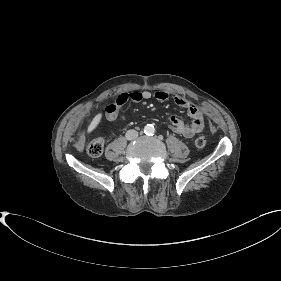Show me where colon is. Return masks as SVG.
I'll list each match as a JSON object with an SVG mask.
<instances>
[{
  "label": "colon",
  "instance_id": "colon-1",
  "mask_svg": "<svg viewBox=\"0 0 281 281\" xmlns=\"http://www.w3.org/2000/svg\"><path fill=\"white\" fill-rule=\"evenodd\" d=\"M206 145V138L202 135L195 139V146L203 148ZM104 142L102 139H94L87 144L86 151L91 157H99L103 153Z\"/></svg>",
  "mask_w": 281,
  "mask_h": 281
}]
</instances>
